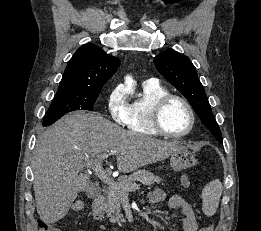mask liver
<instances>
[{
	"label": "liver",
	"mask_w": 261,
	"mask_h": 231,
	"mask_svg": "<svg viewBox=\"0 0 261 231\" xmlns=\"http://www.w3.org/2000/svg\"><path fill=\"white\" fill-rule=\"evenodd\" d=\"M183 148L177 141L124 130L96 113L65 115L36 143L32 169L37 212L46 224L62 219L78 193L91 189L84 169L88 159L102 152L116 151L118 170L128 173Z\"/></svg>",
	"instance_id": "6515ba94"
}]
</instances>
